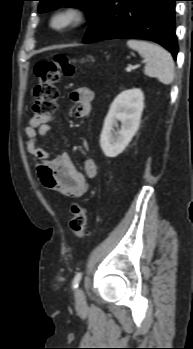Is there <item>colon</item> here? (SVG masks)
I'll list each match as a JSON object with an SVG mask.
<instances>
[{"mask_svg": "<svg viewBox=\"0 0 193 349\" xmlns=\"http://www.w3.org/2000/svg\"><path fill=\"white\" fill-rule=\"evenodd\" d=\"M75 66L65 56H57L51 61L39 62L35 72L39 77V83L34 91L33 109L36 115H51L56 111L59 91L57 83L62 76H72L75 73ZM72 218L70 227L73 234L81 239L86 235L87 213L86 209L73 204L71 207Z\"/></svg>", "mask_w": 193, "mask_h": 349, "instance_id": "1", "label": "colon"}]
</instances>
